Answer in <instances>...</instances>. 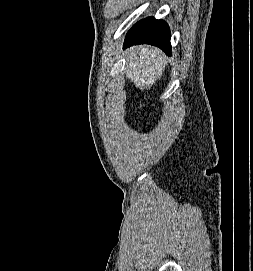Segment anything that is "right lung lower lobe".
Segmentation results:
<instances>
[{
    "mask_svg": "<svg viewBox=\"0 0 253 271\" xmlns=\"http://www.w3.org/2000/svg\"><path fill=\"white\" fill-rule=\"evenodd\" d=\"M136 44H150L171 55L170 30L163 20L149 17L137 22L128 32L124 48Z\"/></svg>",
    "mask_w": 253,
    "mask_h": 271,
    "instance_id": "right-lung-lower-lobe-1",
    "label": "right lung lower lobe"
}]
</instances>
